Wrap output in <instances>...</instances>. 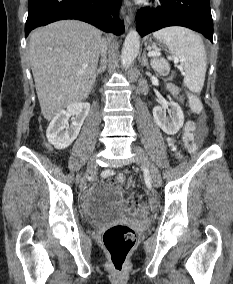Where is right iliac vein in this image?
Here are the masks:
<instances>
[{"mask_svg": "<svg viewBox=\"0 0 233 284\" xmlns=\"http://www.w3.org/2000/svg\"><path fill=\"white\" fill-rule=\"evenodd\" d=\"M87 169L88 172H83V175H81L82 183L79 184L80 188H86L87 185H89L90 177H95V171L97 169L96 156H93L89 160Z\"/></svg>", "mask_w": 233, "mask_h": 284, "instance_id": "1", "label": "right iliac vein"}]
</instances>
